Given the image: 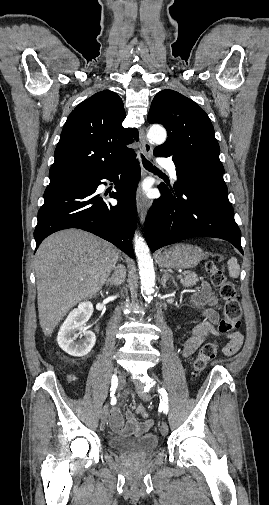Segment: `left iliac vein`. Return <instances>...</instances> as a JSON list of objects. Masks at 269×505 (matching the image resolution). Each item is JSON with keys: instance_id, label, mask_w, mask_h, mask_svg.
Here are the masks:
<instances>
[{"instance_id": "obj_1", "label": "left iliac vein", "mask_w": 269, "mask_h": 505, "mask_svg": "<svg viewBox=\"0 0 269 505\" xmlns=\"http://www.w3.org/2000/svg\"><path fill=\"white\" fill-rule=\"evenodd\" d=\"M135 387H136V391L138 393V395L144 399V400H149L150 399V395L148 392H145L144 391V387L142 384L136 382L135 383ZM160 432L163 436L167 435L168 433V425L166 423V421H162L161 424H160Z\"/></svg>"}]
</instances>
